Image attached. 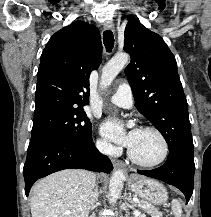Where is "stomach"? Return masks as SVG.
Listing matches in <instances>:
<instances>
[{
  "label": "stomach",
  "mask_w": 211,
  "mask_h": 217,
  "mask_svg": "<svg viewBox=\"0 0 211 217\" xmlns=\"http://www.w3.org/2000/svg\"><path fill=\"white\" fill-rule=\"evenodd\" d=\"M132 192L153 204H165L168 199L167 190L158 180L134 175L130 179Z\"/></svg>",
  "instance_id": "obj_1"
}]
</instances>
